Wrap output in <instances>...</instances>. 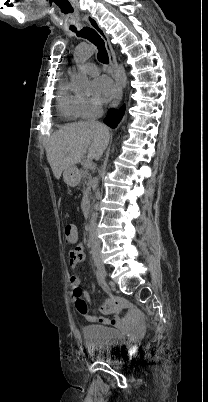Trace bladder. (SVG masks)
<instances>
[{
	"label": "bladder",
	"mask_w": 208,
	"mask_h": 402,
	"mask_svg": "<svg viewBox=\"0 0 208 402\" xmlns=\"http://www.w3.org/2000/svg\"><path fill=\"white\" fill-rule=\"evenodd\" d=\"M82 335L85 347L90 354L112 363V359L119 354L125 337L108 325H84Z\"/></svg>",
	"instance_id": "obj_1"
}]
</instances>
